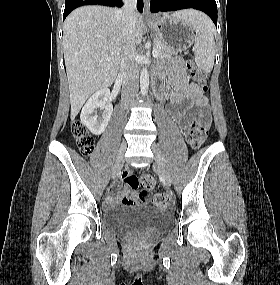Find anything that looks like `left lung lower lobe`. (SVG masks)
Here are the masks:
<instances>
[{"mask_svg": "<svg viewBox=\"0 0 280 285\" xmlns=\"http://www.w3.org/2000/svg\"><path fill=\"white\" fill-rule=\"evenodd\" d=\"M193 8L205 12L217 26V5L215 0H152V13Z\"/></svg>", "mask_w": 280, "mask_h": 285, "instance_id": "1", "label": "left lung lower lobe"}]
</instances>
